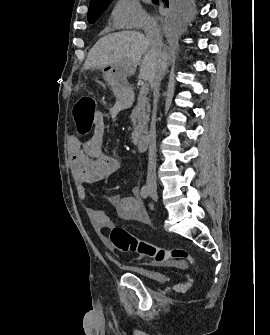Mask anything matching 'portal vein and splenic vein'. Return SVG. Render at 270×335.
Segmentation results:
<instances>
[{"instance_id": "portal-vein-and-splenic-vein-1", "label": "portal vein and splenic vein", "mask_w": 270, "mask_h": 335, "mask_svg": "<svg viewBox=\"0 0 270 335\" xmlns=\"http://www.w3.org/2000/svg\"><path fill=\"white\" fill-rule=\"evenodd\" d=\"M140 91H141L142 93H148V92H149V87H148V86H142V87L140 88Z\"/></svg>"}]
</instances>
